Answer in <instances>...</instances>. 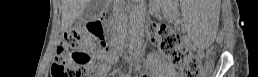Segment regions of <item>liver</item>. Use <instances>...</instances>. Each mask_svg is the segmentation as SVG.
I'll return each instance as SVG.
<instances>
[{
	"label": "liver",
	"instance_id": "obj_1",
	"mask_svg": "<svg viewBox=\"0 0 258 77\" xmlns=\"http://www.w3.org/2000/svg\"><path fill=\"white\" fill-rule=\"evenodd\" d=\"M90 0H62V28L67 29L79 18Z\"/></svg>",
	"mask_w": 258,
	"mask_h": 77
}]
</instances>
